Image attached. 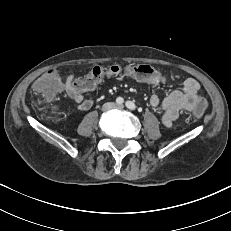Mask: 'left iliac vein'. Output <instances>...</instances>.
Returning <instances> with one entry per match:
<instances>
[{
  "label": "left iliac vein",
  "mask_w": 231,
  "mask_h": 231,
  "mask_svg": "<svg viewBox=\"0 0 231 231\" xmlns=\"http://www.w3.org/2000/svg\"><path fill=\"white\" fill-rule=\"evenodd\" d=\"M117 108H118V109H122V108H123V106H118Z\"/></svg>",
  "instance_id": "obj_1"
}]
</instances>
